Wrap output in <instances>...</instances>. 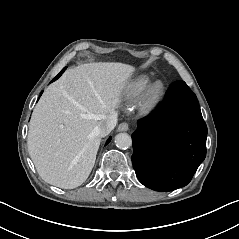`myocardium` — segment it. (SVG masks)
<instances>
[{"label":"myocardium","instance_id":"1","mask_svg":"<svg viewBox=\"0 0 239 239\" xmlns=\"http://www.w3.org/2000/svg\"><path fill=\"white\" fill-rule=\"evenodd\" d=\"M167 95V85L163 80L157 79L150 83L138 103L137 110L143 117L155 114L163 104Z\"/></svg>","mask_w":239,"mask_h":239}]
</instances>
